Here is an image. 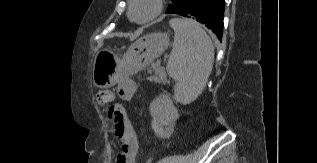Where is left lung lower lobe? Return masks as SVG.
I'll return each instance as SVG.
<instances>
[{"instance_id": "1", "label": "left lung lower lobe", "mask_w": 317, "mask_h": 163, "mask_svg": "<svg viewBox=\"0 0 317 163\" xmlns=\"http://www.w3.org/2000/svg\"><path fill=\"white\" fill-rule=\"evenodd\" d=\"M224 7V0H181L177 8L171 13L193 18L206 24L221 41Z\"/></svg>"}]
</instances>
